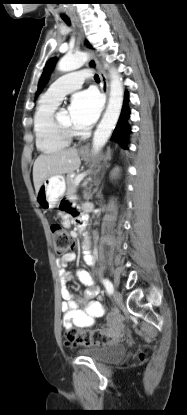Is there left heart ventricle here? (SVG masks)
<instances>
[{
	"mask_svg": "<svg viewBox=\"0 0 187 415\" xmlns=\"http://www.w3.org/2000/svg\"><path fill=\"white\" fill-rule=\"evenodd\" d=\"M58 119L62 124L66 125V126L74 127L72 122H71L70 115H69L68 111H64L62 113H59L58 114Z\"/></svg>",
	"mask_w": 187,
	"mask_h": 415,
	"instance_id": "b2bd125f",
	"label": "left heart ventricle"
}]
</instances>
